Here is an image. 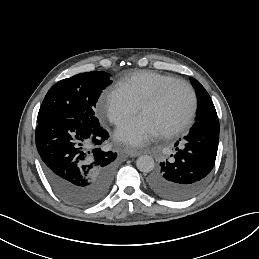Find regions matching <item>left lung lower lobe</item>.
<instances>
[{"label": "left lung lower lobe", "mask_w": 259, "mask_h": 259, "mask_svg": "<svg viewBox=\"0 0 259 259\" xmlns=\"http://www.w3.org/2000/svg\"><path fill=\"white\" fill-rule=\"evenodd\" d=\"M181 140V139H180ZM219 141L217 116L196 121L183 145L171 155L170 161L160 163V168L148 178L149 188L155 194L173 201L190 198L201 190L215 164Z\"/></svg>", "instance_id": "left-lung-lower-lobe-1"}]
</instances>
